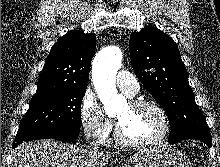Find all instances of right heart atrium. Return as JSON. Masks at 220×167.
Masks as SVG:
<instances>
[{
    "mask_svg": "<svg viewBox=\"0 0 220 167\" xmlns=\"http://www.w3.org/2000/svg\"><path fill=\"white\" fill-rule=\"evenodd\" d=\"M80 122L85 134L98 142L105 141L112 131L111 122L104 115L95 97L88 92L80 102Z\"/></svg>",
    "mask_w": 220,
    "mask_h": 167,
    "instance_id": "obj_1",
    "label": "right heart atrium"
}]
</instances>
